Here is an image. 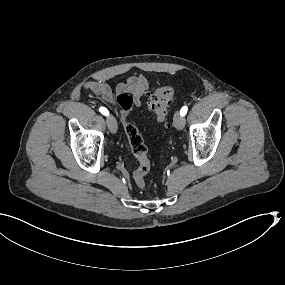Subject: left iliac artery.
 <instances>
[{
  "label": "left iliac artery",
  "mask_w": 285,
  "mask_h": 285,
  "mask_svg": "<svg viewBox=\"0 0 285 285\" xmlns=\"http://www.w3.org/2000/svg\"><path fill=\"white\" fill-rule=\"evenodd\" d=\"M187 110H188L187 106H183L180 110L181 116H185L187 113Z\"/></svg>",
  "instance_id": "obj_1"
}]
</instances>
